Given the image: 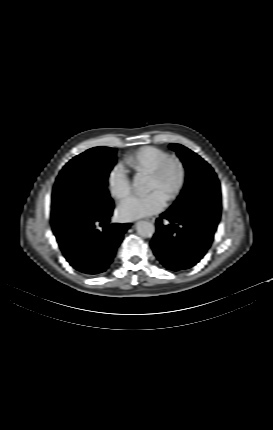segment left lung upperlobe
<instances>
[{
	"label": "left lung upper lobe",
	"mask_w": 273,
	"mask_h": 430,
	"mask_svg": "<svg viewBox=\"0 0 273 430\" xmlns=\"http://www.w3.org/2000/svg\"><path fill=\"white\" fill-rule=\"evenodd\" d=\"M186 168V183L170 209L182 211L185 201L207 193L220 196V184L212 167L200 156L180 144H170Z\"/></svg>",
	"instance_id": "5c2ea615"
}]
</instances>
